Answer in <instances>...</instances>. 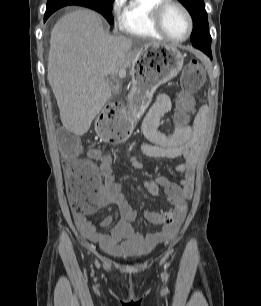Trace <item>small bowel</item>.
<instances>
[{"label": "small bowel", "instance_id": "1", "mask_svg": "<svg viewBox=\"0 0 261 306\" xmlns=\"http://www.w3.org/2000/svg\"><path fill=\"white\" fill-rule=\"evenodd\" d=\"M172 97L160 94L141 123V131L145 141L140 143V152L152 159L176 160L183 162L176 165L177 172L183 178L179 183L169 181L165 177H158L146 181L144 187L151 195H157L162 190L173 203L182 208L178 210L176 221L164 226L159 232L146 236L139 233L132 223L137 217L136 211L130 206L122 192V185L116 181L113 166L115 160L104 157L101 160L100 172L102 181L97 184L94 206L91 210L102 209L114 204L118 207L121 219L110 233L100 232L97 224L88 219L86 212L74 214L76 224L81 234L90 242L97 244L105 253L121 256L129 252L144 253L151 250L156 244L173 239L184 219L185 207L183 202L190 199L193 192V167L204 147V117L205 109L198 110L191 104L189 112L194 115L191 124L176 126L170 133L160 131L161 119L171 111ZM129 165L134 169H142L143 163L137 155L130 156ZM85 163L77 157L67 158L64 161V170L68 174L72 167ZM146 220L151 224L160 223L162 216L158 213L146 211ZM113 222L112 216L105 217L101 227H109Z\"/></svg>", "mask_w": 261, "mask_h": 306}]
</instances>
